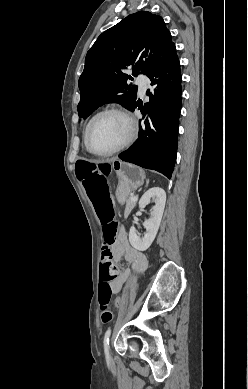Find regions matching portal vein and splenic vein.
<instances>
[{
    "mask_svg": "<svg viewBox=\"0 0 248 389\" xmlns=\"http://www.w3.org/2000/svg\"><path fill=\"white\" fill-rule=\"evenodd\" d=\"M130 198L133 199V200H137V199H138V197H137V196H134V195H131Z\"/></svg>",
    "mask_w": 248,
    "mask_h": 389,
    "instance_id": "18ae733b",
    "label": "portal vein and splenic vein"
}]
</instances>
